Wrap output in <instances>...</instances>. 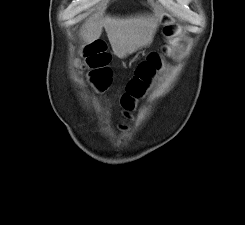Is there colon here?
Masks as SVG:
<instances>
[{"mask_svg": "<svg viewBox=\"0 0 245 225\" xmlns=\"http://www.w3.org/2000/svg\"><path fill=\"white\" fill-rule=\"evenodd\" d=\"M167 36L173 34L172 27L168 25L165 29ZM87 56H91L92 66L94 71L92 73L94 81L97 87L100 90L106 89L111 83L112 72L111 69L107 66L108 64V55L105 53V47L101 42H95L90 45L88 51L86 52ZM156 58L154 55L150 56L147 60L142 61L135 68L134 76L128 81L126 90L123 93L122 99L125 105H127V111L124 115V121L122 127L128 129L131 126L132 122V110L134 97L139 96L145 86V83L148 81V78L153 71Z\"/></svg>", "mask_w": 245, "mask_h": 225, "instance_id": "colon-1", "label": "colon"}]
</instances>
